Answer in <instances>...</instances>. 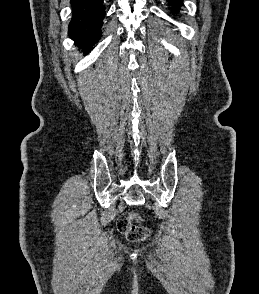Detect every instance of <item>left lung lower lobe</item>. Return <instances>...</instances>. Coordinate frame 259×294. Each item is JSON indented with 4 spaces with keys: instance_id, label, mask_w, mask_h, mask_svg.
I'll return each mask as SVG.
<instances>
[{
    "instance_id": "left-lung-lower-lobe-1",
    "label": "left lung lower lobe",
    "mask_w": 259,
    "mask_h": 294,
    "mask_svg": "<svg viewBox=\"0 0 259 294\" xmlns=\"http://www.w3.org/2000/svg\"><path fill=\"white\" fill-rule=\"evenodd\" d=\"M167 2L170 4V9L172 10V12L177 13L182 0H167Z\"/></svg>"
}]
</instances>
